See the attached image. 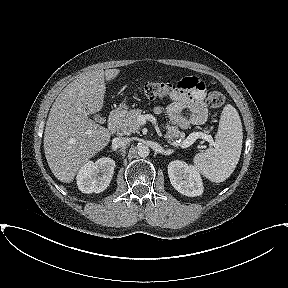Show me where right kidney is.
I'll use <instances>...</instances> for the list:
<instances>
[{"instance_id":"1","label":"right kidney","mask_w":288,"mask_h":288,"mask_svg":"<svg viewBox=\"0 0 288 288\" xmlns=\"http://www.w3.org/2000/svg\"><path fill=\"white\" fill-rule=\"evenodd\" d=\"M114 168L115 161L108 157L86 162L77 175L79 190L87 194L103 192L112 180Z\"/></svg>"}]
</instances>
